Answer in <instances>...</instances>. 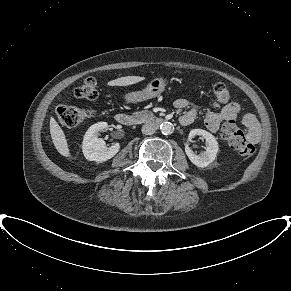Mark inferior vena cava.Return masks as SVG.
<instances>
[{
  "instance_id": "inferior-vena-cava-1",
  "label": "inferior vena cava",
  "mask_w": 291,
  "mask_h": 291,
  "mask_svg": "<svg viewBox=\"0 0 291 291\" xmlns=\"http://www.w3.org/2000/svg\"><path fill=\"white\" fill-rule=\"evenodd\" d=\"M156 131V126L152 122H147L142 126V133L145 135L154 134Z\"/></svg>"
}]
</instances>
